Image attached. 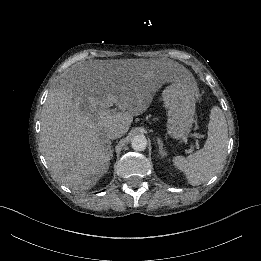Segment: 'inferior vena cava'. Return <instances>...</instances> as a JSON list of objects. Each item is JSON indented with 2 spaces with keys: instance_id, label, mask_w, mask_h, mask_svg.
Wrapping results in <instances>:
<instances>
[{
  "instance_id": "obj_1",
  "label": "inferior vena cava",
  "mask_w": 261,
  "mask_h": 261,
  "mask_svg": "<svg viewBox=\"0 0 261 261\" xmlns=\"http://www.w3.org/2000/svg\"><path fill=\"white\" fill-rule=\"evenodd\" d=\"M123 134V130H120L118 128L111 129L107 132L108 138L112 140L122 137Z\"/></svg>"
}]
</instances>
